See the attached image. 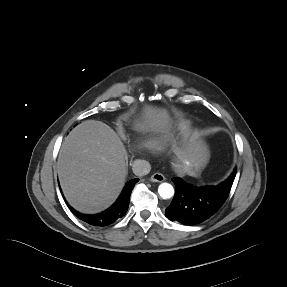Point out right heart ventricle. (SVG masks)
Here are the masks:
<instances>
[{"label": "right heart ventricle", "instance_id": "1", "mask_svg": "<svg viewBox=\"0 0 287 287\" xmlns=\"http://www.w3.org/2000/svg\"><path fill=\"white\" fill-rule=\"evenodd\" d=\"M185 128L184 124H178L177 126H175V130H182Z\"/></svg>", "mask_w": 287, "mask_h": 287}]
</instances>
